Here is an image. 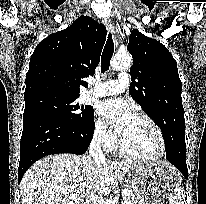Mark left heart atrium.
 Instances as JSON below:
<instances>
[{"mask_svg": "<svg viewBox=\"0 0 206 204\" xmlns=\"http://www.w3.org/2000/svg\"><path fill=\"white\" fill-rule=\"evenodd\" d=\"M99 112L115 125L120 135L123 134L127 124L134 116L127 103L120 99H110L103 102L99 106Z\"/></svg>", "mask_w": 206, "mask_h": 204, "instance_id": "left-heart-atrium-1", "label": "left heart atrium"}]
</instances>
